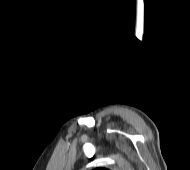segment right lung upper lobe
<instances>
[{"label":"right lung upper lobe","instance_id":"1","mask_svg":"<svg viewBox=\"0 0 190 170\" xmlns=\"http://www.w3.org/2000/svg\"><path fill=\"white\" fill-rule=\"evenodd\" d=\"M94 170H108V169H105V168H96Z\"/></svg>","mask_w":190,"mask_h":170}]
</instances>
